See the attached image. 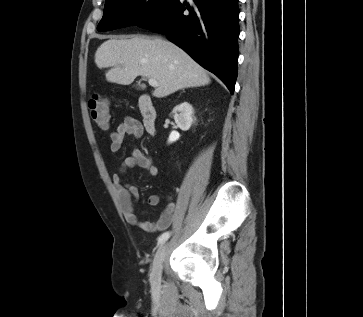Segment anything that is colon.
Here are the masks:
<instances>
[{
  "label": "colon",
  "mask_w": 363,
  "mask_h": 317,
  "mask_svg": "<svg viewBox=\"0 0 363 317\" xmlns=\"http://www.w3.org/2000/svg\"><path fill=\"white\" fill-rule=\"evenodd\" d=\"M88 109L95 124L105 129L109 123L108 102L99 96H94L88 101Z\"/></svg>",
  "instance_id": "obj_1"
}]
</instances>
